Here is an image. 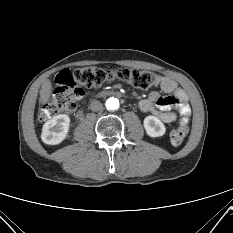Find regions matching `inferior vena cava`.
Masks as SVG:
<instances>
[{"label":"inferior vena cava","instance_id":"602c4592","mask_svg":"<svg viewBox=\"0 0 233 233\" xmlns=\"http://www.w3.org/2000/svg\"><path fill=\"white\" fill-rule=\"evenodd\" d=\"M90 109L94 112L101 111L103 109V105L100 101L93 100L90 104Z\"/></svg>","mask_w":233,"mask_h":233}]
</instances>
